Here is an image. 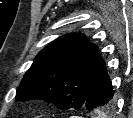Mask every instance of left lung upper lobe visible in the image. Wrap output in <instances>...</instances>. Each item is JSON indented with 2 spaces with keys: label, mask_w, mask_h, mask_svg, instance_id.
<instances>
[{
  "label": "left lung upper lobe",
  "mask_w": 133,
  "mask_h": 118,
  "mask_svg": "<svg viewBox=\"0 0 133 118\" xmlns=\"http://www.w3.org/2000/svg\"><path fill=\"white\" fill-rule=\"evenodd\" d=\"M97 51L98 47L80 33L56 39L36 56L17 89L16 99L44 100L62 110L84 108L106 67Z\"/></svg>",
  "instance_id": "5c2ea615"
}]
</instances>
